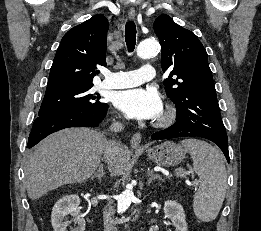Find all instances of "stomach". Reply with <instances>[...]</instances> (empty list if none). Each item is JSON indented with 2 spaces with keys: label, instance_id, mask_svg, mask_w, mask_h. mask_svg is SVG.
<instances>
[{
  "label": "stomach",
  "instance_id": "stomach-1",
  "mask_svg": "<svg viewBox=\"0 0 261 231\" xmlns=\"http://www.w3.org/2000/svg\"><path fill=\"white\" fill-rule=\"evenodd\" d=\"M148 158L157 165L170 167L178 165L185 158L186 150L171 141L146 149Z\"/></svg>",
  "mask_w": 261,
  "mask_h": 231
}]
</instances>
